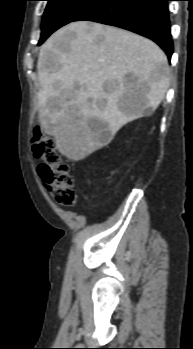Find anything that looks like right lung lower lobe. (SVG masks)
<instances>
[{
	"label": "right lung lower lobe",
	"instance_id": "right-lung-lower-lobe-1",
	"mask_svg": "<svg viewBox=\"0 0 193 349\" xmlns=\"http://www.w3.org/2000/svg\"><path fill=\"white\" fill-rule=\"evenodd\" d=\"M168 1L97 0L73 21H94L135 32L156 42L170 59L173 43Z\"/></svg>",
	"mask_w": 193,
	"mask_h": 349
}]
</instances>
